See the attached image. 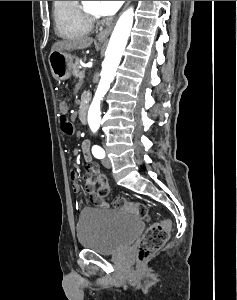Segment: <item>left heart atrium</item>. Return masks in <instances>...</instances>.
<instances>
[{
    "label": "left heart atrium",
    "mask_w": 237,
    "mask_h": 300,
    "mask_svg": "<svg viewBox=\"0 0 237 300\" xmlns=\"http://www.w3.org/2000/svg\"><path fill=\"white\" fill-rule=\"evenodd\" d=\"M124 1H100V10L103 15H112L118 11Z\"/></svg>",
    "instance_id": "obj_1"
}]
</instances>
